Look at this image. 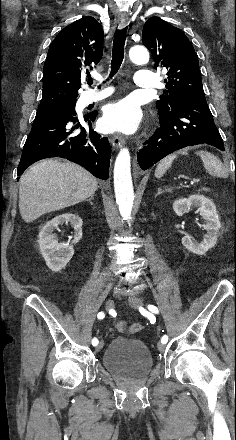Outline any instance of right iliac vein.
Wrapping results in <instances>:
<instances>
[{
    "label": "right iliac vein",
    "mask_w": 236,
    "mask_h": 440,
    "mask_svg": "<svg viewBox=\"0 0 236 440\" xmlns=\"http://www.w3.org/2000/svg\"><path fill=\"white\" fill-rule=\"evenodd\" d=\"M105 307L107 310H111L114 308V301L109 299L106 301ZM103 348V341H100L99 344L96 347V351H100Z\"/></svg>",
    "instance_id": "obj_1"
}]
</instances>
